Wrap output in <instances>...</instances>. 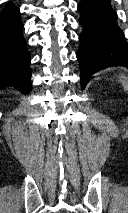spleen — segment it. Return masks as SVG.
Instances as JSON below:
<instances>
[{
	"label": "spleen",
	"mask_w": 128,
	"mask_h": 213,
	"mask_svg": "<svg viewBox=\"0 0 128 213\" xmlns=\"http://www.w3.org/2000/svg\"><path fill=\"white\" fill-rule=\"evenodd\" d=\"M120 82L122 83L124 90L127 91V93H128V79H127V77H125L124 75H121Z\"/></svg>",
	"instance_id": "1"
}]
</instances>
